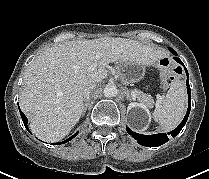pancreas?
Instances as JSON below:
<instances>
[{"label": "pancreas", "instance_id": "obj_1", "mask_svg": "<svg viewBox=\"0 0 209 179\" xmlns=\"http://www.w3.org/2000/svg\"><path fill=\"white\" fill-rule=\"evenodd\" d=\"M133 96L137 99V101L149 107H152L154 104L153 98L140 90L135 89L133 91Z\"/></svg>", "mask_w": 209, "mask_h": 179}]
</instances>
